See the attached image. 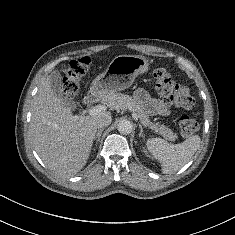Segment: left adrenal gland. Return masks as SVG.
<instances>
[{"label": "left adrenal gland", "mask_w": 235, "mask_h": 235, "mask_svg": "<svg viewBox=\"0 0 235 235\" xmlns=\"http://www.w3.org/2000/svg\"><path fill=\"white\" fill-rule=\"evenodd\" d=\"M139 129H140L139 136H140V137H143L144 131H143V128H142V125H141V124H139Z\"/></svg>", "instance_id": "left-adrenal-gland-1"}]
</instances>
